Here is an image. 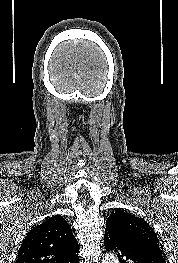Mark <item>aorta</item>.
I'll use <instances>...</instances> for the list:
<instances>
[{
  "label": "aorta",
  "instance_id": "aorta-1",
  "mask_svg": "<svg viewBox=\"0 0 178 263\" xmlns=\"http://www.w3.org/2000/svg\"><path fill=\"white\" fill-rule=\"evenodd\" d=\"M102 263H119L117 256L113 253H108L102 259Z\"/></svg>",
  "mask_w": 178,
  "mask_h": 263
}]
</instances>
